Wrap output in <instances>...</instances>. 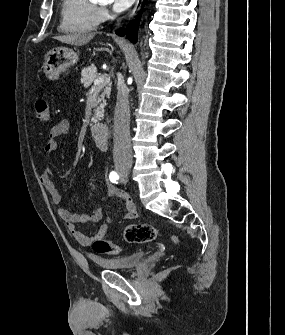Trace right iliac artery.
Masks as SVG:
<instances>
[{
	"label": "right iliac artery",
	"mask_w": 285,
	"mask_h": 335,
	"mask_svg": "<svg viewBox=\"0 0 285 335\" xmlns=\"http://www.w3.org/2000/svg\"><path fill=\"white\" fill-rule=\"evenodd\" d=\"M109 179H110V181L112 182V183H118L117 181H118V179H119V176H118V174L116 173V172H114V171H112L111 173H110V175H109Z\"/></svg>",
	"instance_id": "obj_1"
}]
</instances>
